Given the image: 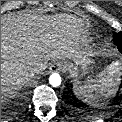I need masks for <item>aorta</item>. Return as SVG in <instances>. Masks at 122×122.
<instances>
[{"mask_svg":"<svg viewBox=\"0 0 122 122\" xmlns=\"http://www.w3.org/2000/svg\"><path fill=\"white\" fill-rule=\"evenodd\" d=\"M49 83L53 86V87H58L61 84V77L58 73H53L50 75L49 77Z\"/></svg>","mask_w":122,"mask_h":122,"instance_id":"1","label":"aorta"}]
</instances>
